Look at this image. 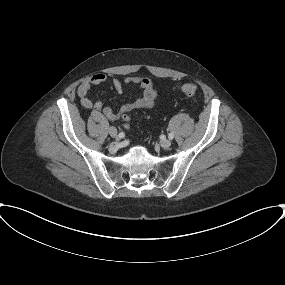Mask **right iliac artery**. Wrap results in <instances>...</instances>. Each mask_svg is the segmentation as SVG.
<instances>
[{
  "label": "right iliac artery",
  "mask_w": 285,
  "mask_h": 285,
  "mask_svg": "<svg viewBox=\"0 0 285 285\" xmlns=\"http://www.w3.org/2000/svg\"><path fill=\"white\" fill-rule=\"evenodd\" d=\"M124 135H125V134H124L123 132H120V133H119V138H123Z\"/></svg>",
  "instance_id": "obj_1"
}]
</instances>
